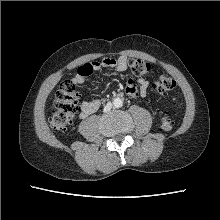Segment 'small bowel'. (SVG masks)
Returning <instances> with one entry per match:
<instances>
[{
    "label": "small bowel",
    "mask_w": 220,
    "mask_h": 220,
    "mask_svg": "<svg viewBox=\"0 0 220 220\" xmlns=\"http://www.w3.org/2000/svg\"><path fill=\"white\" fill-rule=\"evenodd\" d=\"M103 67L117 72L125 71L127 68V58L125 56H120L117 59L105 58L102 61L85 63L78 68L76 75L71 79V81L75 85H82L85 82L86 77ZM88 70L89 72H87ZM138 84L139 88H137L134 83H127L125 87L126 95L132 98L137 97L138 95L145 97L149 87L148 81L144 78H139ZM100 105L101 101L99 99L82 102L80 106V117L85 118L92 113H95L99 109Z\"/></svg>",
    "instance_id": "c3829d8e"
}]
</instances>
